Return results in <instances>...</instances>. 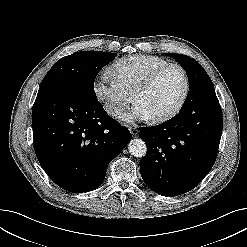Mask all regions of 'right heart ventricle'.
I'll use <instances>...</instances> for the list:
<instances>
[{"label":"right heart ventricle","instance_id":"1","mask_svg":"<svg viewBox=\"0 0 247 247\" xmlns=\"http://www.w3.org/2000/svg\"><path fill=\"white\" fill-rule=\"evenodd\" d=\"M168 63L167 60L158 56L133 55L118 60L109 71L131 95L137 85L152 71Z\"/></svg>","mask_w":247,"mask_h":247}]
</instances>
